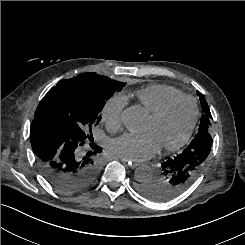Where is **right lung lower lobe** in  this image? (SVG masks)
<instances>
[{
	"label": "right lung lower lobe",
	"instance_id": "1",
	"mask_svg": "<svg viewBox=\"0 0 245 245\" xmlns=\"http://www.w3.org/2000/svg\"><path fill=\"white\" fill-rule=\"evenodd\" d=\"M30 139L42 175L59 192L75 194L96 180L100 165L94 155L102 151L100 147L90 145L93 150L84 155L83 142L42 117L33 120Z\"/></svg>",
	"mask_w": 245,
	"mask_h": 245
}]
</instances>
